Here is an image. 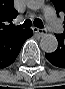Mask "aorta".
Here are the masks:
<instances>
[{"label": "aorta", "mask_w": 65, "mask_h": 89, "mask_svg": "<svg viewBox=\"0 0 65 89\" xmlns=\"http://www.w3.org/2000/svg\"><path fill=\"white\" fill-rule=\"evenodd\" d=\"M43 5V2L40 0H35L29 3L30 8L39 9ZM40 47L46 53H53L58 47V41L55 35L45 34L40 40Z\"/></svg>", "instance_id": "obj_1"}]
</instances>
